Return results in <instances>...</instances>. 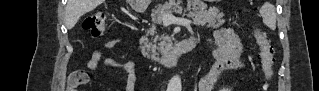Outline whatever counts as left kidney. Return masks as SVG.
I'll use <instances>...</instances> for the list:
<instances>
[{
  "instance_id": "obj_1",
  "label": "left kidney",
  "mask_w": 319,
  "mask_h": 91,
  "mask_svg": "<svg viewBox=\"0 0 319 91\" xmlns=\"http://www.w3.org/2000/svg\"><path fill=\"white\" fill-rule=\"evenodd\" d=\"M223 91H230V90H228V89H223Z\"/></svg>"
}]
</instances>
